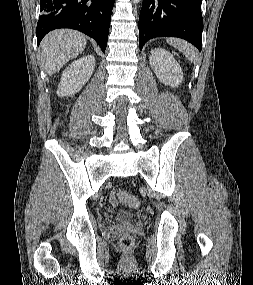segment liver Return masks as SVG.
<instances>
[{"label":"liver","instance_id":"liver-1","mask_svg":"<svg viewBox=\"0 0 253 285\" xmlns=\"http://www.w3.org/2000/svg\"><path fill=\"white\" fill-rule=\"evenodd\" d=\"M86 37L82 33L59 29L44 37L40 45V58L44 71L53 75L70 59L82 53L86 47Z\"/></svg>","mask_w":253,"mask_h":285}]
</instances>
